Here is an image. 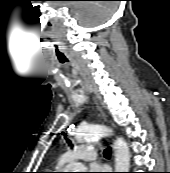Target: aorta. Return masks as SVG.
Masks as SVG:
<instances>
[{
    "label": "aorta",
    "instance_id": "762f6f07",
    "mask_svg": "<svg viewBox=\"0 0 170 173\" xmlns=\"http://www.w3.org/2000/svg\"><path fill=\"white\" fill-rule=\"evenodd\" d=\"M112 132L111 129L103 125H93L81 128L76 139L79 143L84 141H94ZM115 149V172H128L130 167V151L126 141L118 137L114 143ZM74 172H86V167L81 163L74 164Z\"/></svg>",
    "mask_w": 170,
    "mask_h": 173
}]
</instances>
